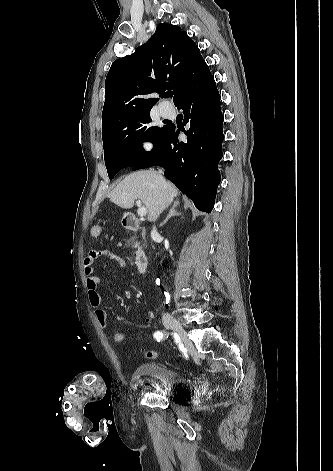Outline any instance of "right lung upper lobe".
Returning a JSON list of instances; mask_svg holds the SVG:
<instances>
[{
    "label": "right lung upper lobe",
    "instance_id": "right-lung-upper-lobe-1",
    "mask_svg": "<svg viewBox=\"0 0 333 471\" xmlns=\"http://www.w3.org/2000/svg\"><path fill=\"white\" fill-rule=\"evenodd\" d=\"M209 68L200 50L186 32L176 25L160 23L154 35L136 51L117 59L105 81L102 131L151 110L158 98L171 88L175 105Z\"/></svg>",
    "mask_w": 333,
    "mask_h": 471
}]
</instances>
